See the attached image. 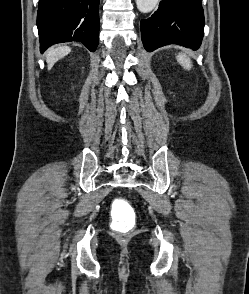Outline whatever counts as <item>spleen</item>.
<instances>
[{
  "instance_id": "3e777b00",
  "label": "spleen",
  "mask_w": 249,
  "mask_h": 294,
  "mask_svg": "<svg viewBox=\"0 0 249 294\" xmlns=\"http://www.w3.org/2000/svg\"><path fill=\"white\" fill-rule=\"evenodd\" d=\"M177 61L187 70H190L192 67L190 58L183 53L177 56Z\"/></svg>"
}]
</instances>
